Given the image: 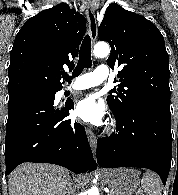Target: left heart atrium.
Instances as JSON below:
<instances>
[{
    "mask_svg": "<svg viewBox=\"0 0 178 195\" xmlns=\"http://www.w3.org/2000/svg\"><path fill=\"white\" fill-rule=\"evenodd\" d=\"M75 115L87 124L98 126L105 118V110L100 101L88 95L77 102Z\"/></svg>",
    "mask_w": 178,
    "mask_h": 195,
    "instance_id": "left-heart-atrium-1",
    "label": "left heart atrium"
}]
</instances>
